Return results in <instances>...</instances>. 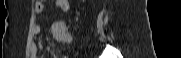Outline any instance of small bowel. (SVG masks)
<instances>
[{"instance_id": "small-bowel-1", "label": "small bowel", "mask_w": 181, "mask_h": 58, "mask_svg": "<svg viewBox=\"0 0 181 58\" xmlns=\"http://www.w3.org/2000/svg\"><path fill=\"white\" fill-rule=\"evenodd\" d=\"M55 5L62 9L63 11L67 12L70 8L69 1L67 0H55L54 1ZM44 7V2L42 0L36 1L35 2V12L36 13H41L43 11ZM40 32V26L37 24L35 26V33ZM68 40V39H66ZM31 57L32 58H38V45L34 43L31 47Z\"/></svg>"}]
</instances>
